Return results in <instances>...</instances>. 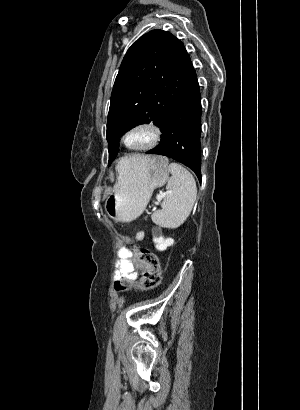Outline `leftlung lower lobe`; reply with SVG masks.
<instances>
[{"mask_svg": "<svg viewBox=\"0 0 300 410\" xmlns=\"http://www.w3.org/2000/svg\"><path fill=\"white\" fill-rule=\"evenodd\" d=\"M201 97L193 69L183 92L160 123V144L146 153L167 156L192 169L201 181Z\"/></svg>", "mask_w": 300, "mask_h": 410, "instance_id": "obj_1", "label": "left lung lower lobe"}]
</instances>
